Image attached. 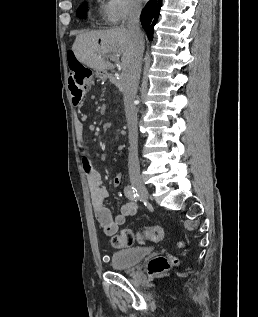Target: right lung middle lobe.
I'll list each match as a JSON object with an SVG mask.
<instances>
[{
	"instance_id": "right-lung-middle-lobe-1",
	"label": "right lung middle lobe",
	"mask_w": 258,
	"mask_h": 317,
	"mask_svg": "<svg viewBox=\"0 0 258 317\" xmlns=\"http://www.w3.org/2000/svg\"><path fill=\"white\" fill-rule=\"evenodd\" d=\"M78 16L81 17V18H84V16H85V9L81 8V9L78 11Z\"/></svg>"
}]
</instances>
